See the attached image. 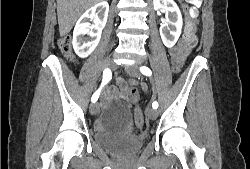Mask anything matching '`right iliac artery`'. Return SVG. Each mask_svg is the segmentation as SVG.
I'll use <instances>...</instances> for the list:
<instances>
[{
  "label": "right iliac artery",
  "instance_id": "82829eb1",
  "mask_svg": "<svg viewBox=\"0 0 250 169\" xmlns=\"http://www.w3.org/2000/svg\"><path fill=\"white\" fill-rule=\"evenodd\" d=\"M112 78V72L109 68L105 69L103 71V80H102V83H101V86L100 88L93 94L92 98H91V101L92 102H96L99 98V95H100V91L102 89V87L107 84Z\"/></svg>",
  "mask_w": 250,
  "mask_h": 169
}]
</instances>
